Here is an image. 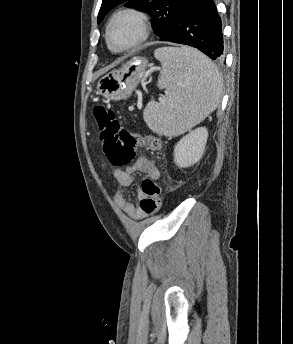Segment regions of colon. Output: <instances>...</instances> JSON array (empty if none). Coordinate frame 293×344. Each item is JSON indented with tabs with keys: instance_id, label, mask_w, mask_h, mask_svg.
<instances>
[{
	"instance_id": "5ec220e1",
	"label": "colon",
	"mask_w": 293,
	"mask_h": 344,
	"mask_svg": "<svg viewBox=\"0 0 293 344\" xmlns=\"http://www.w3.org/2000/svg\"><path fill=\"white\" fill-rule=\"evenodd\" d=\"M93 115L98 124L103 152L112 167L128 166L135 157L138 145L145 146L150 152H158L162 148L159 138L153 135L140 136L120 127L117 112L96 105ZM144 198L140 201V209L145 215L157 213L162 206L160 186L152 179H145L141 186Z\"/></svg>"
}]
</instances>
